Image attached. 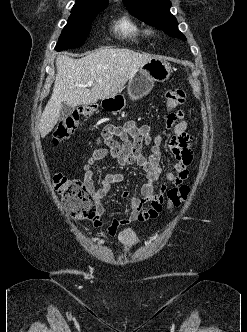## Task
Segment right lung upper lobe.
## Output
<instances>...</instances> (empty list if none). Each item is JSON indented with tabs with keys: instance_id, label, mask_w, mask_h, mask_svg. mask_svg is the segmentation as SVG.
<instances>
[{
	"instance_id": "obj_1",
	"label": "right lung upper lobe",
	"mask_w": 247,
	"mask_h": 332,
	"mask_svg": "<svg viewBox=\"0 0 247 332\" xmlns=\"http://www.w3.org/2000/svg\"><path fill=\"white\" fill-rule=\"evenodd\" d=\"M108 0H76L74 7L89 8L96 6L108 5Z\"/></svg>"
}]
</instances>
